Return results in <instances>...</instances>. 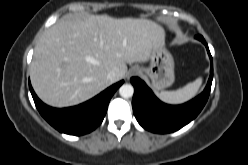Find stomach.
<instances>
[{
	"mask_svg": "<svg viewBox=\"0 0 248 165\" xmlns=\"http://www.w3.org/2000/svg\"><path fill=\"white\" fill-rule=\"evenodd\" d=\"M149 61L150 66L143 68V71L151 79L152 86L156 90L171 86L175 80L174 60L164 43L154 45Z\"/></svg>",
	"mask_w": 248,
	"mask_h": 165,
	"instance_id": "obj_1",
	"label": "stomach"
}]
</instances>
